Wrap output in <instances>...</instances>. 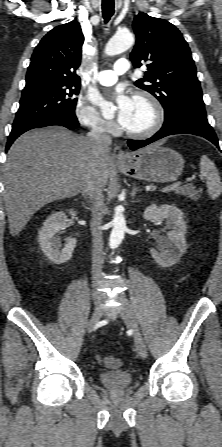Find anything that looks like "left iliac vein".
Instances as JSON below:
<instances>
[{"mask_svg":"<svg viewBox=\"0 0 222 447\" xmlns=\"http://www.w3.org/2000/svg\"><path fill=\"white\" fill-rule=\"evenodd\" d=\"M120 301L122 303L121 316L123 321L133 330L136 351L142 359H145L147 357V347L139 330L134 309L126 299L121 298Z\"/></svg>","mask_w":222,"mask_h":447,"instance_id":"1","label":"left iliac vein"}]
</instances>
